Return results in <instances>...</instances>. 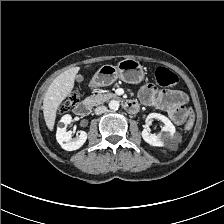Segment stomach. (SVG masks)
<instances>
[{
	"label": "stomach",
	"instance_id": "obj_1",
	"mask_svg": "<svg viewBox=\"0 0 224 224\" xmlns=\"http://www.w3.org/2000/svg\"><path fill=\"white\" fill-rule=\"evenodd\" d=\"M145 71L139 61L124 59L117 66L103 65L93 76V87H104L114 83L117 79L131 84L141 83L145 78Z\"/></svg>",
	"mask_w": 224,
	"mask_h": 224
}]
</instances>
